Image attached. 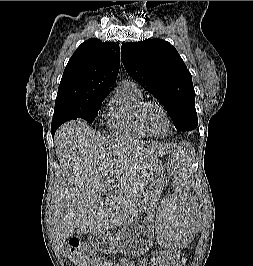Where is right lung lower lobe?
<instances>
[{"mask_svg": "<svg viewBox=\"0 0 253 266\" xmlns=\"http://www.w3.org/2000/svg\"><path fill=\"white\" fill-rule=\"evenodd\" d=\"M58 127H59V125H52V135L55 134Z\"/></svg>", "mask_w": 253, "mask_h": 266, "instance_id": "1", "label": "right lung lower lobe"}]
</instances>
